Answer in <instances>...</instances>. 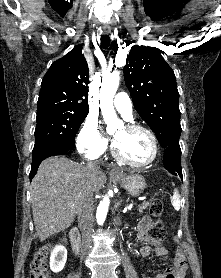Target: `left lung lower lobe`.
<instances>
[{
    "label": "left lung lower lobe",
    "instance_id": "obj_1",
    "mask_svg": "<svg viewBox=\"0 0 221 278\" xmlns=\"http://www.w3.org/2000/svg\"><path fill=\"white\" fill-rule=\"evenodd\" d=\"M165 168L174 175H179L182 178L181 169V149L180 146H169L165 148L163 156Z\"/></svg>",
    "mask_w": 221,
    "mask_h": 278
}]
</instances>
